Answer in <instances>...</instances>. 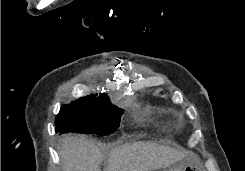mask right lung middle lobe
Masks as SVG:
<instances>
[{"label": "right lung middle lobe", "instance_id": "1", "mask_svg": "<svg viewBox=\"0 0 245 171\" xmlns=\"http://www.w3.org/2000/svg\"><path fill=\"white\" fill-rule=\"evenodd\" d=\"M124 110L110 100L79 101L61 107L56 117V132L112 134L120 125Z\"/></svg>", "mask_w": 245, "mask_h": 171}]
</instances>
